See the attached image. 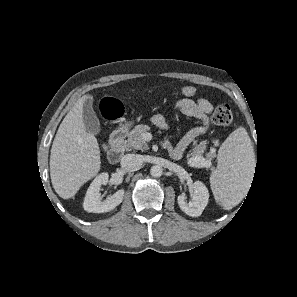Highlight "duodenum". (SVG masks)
Segmentation results:
<instances>
[{
    "label": "duodenum",
    "mask_w": 297,
    "mask_h": 297,
    "mask_svg": "<svg viewBox=\"0 0 297 297\" xmlns=\"http://www.w3.org/2000/svg\"><path fill=\"white\" fill-rule=\"evenodd\" d=\"M127 135V126L122 125L116 129L110 136V148L108 150V160L116 164L121 160L124 153L125 137Z\"/></svg>",
    "instance_id": "410a0bca"
}]
</instances>
